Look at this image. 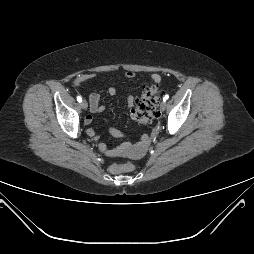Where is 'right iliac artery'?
Instances as JSON below:
<instances>
[{
  "mask_svg": "<svg viewBox=\"0 0 254 254\" xmlns=\"http://www.w3.org/2000/svg\"><path fill=\"white\" fill-rule=\"evenodd\" d=\"M77 101L78 102H81L82 101V98L80 96H77Z\"/></svg>",
  "mask_w": 254,
  "mask_h": 254,
  "instance_id": "right-iliac-artery-1",
  "label": "right iliac artery"
}]
</instances>
